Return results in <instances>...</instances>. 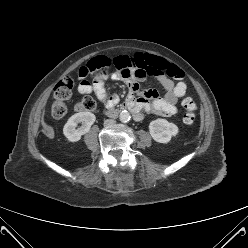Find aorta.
I'll use <instances>...</instances> for the list:
<instances>
[{"label": "aorta", "instance_id": "762f6f07", "mask_svg": "<svg viewBox=\"0 0 248 248\" xmlns=\"http://www.w3.org/2000/svg\"><path fill=\"white\" fill-rule=\"evenodd\" d=\"M130 118H131L130 113L126 110L122 111L119 115V119L122 122H128Z\"/></svg>", "mask_w": 248, "mask_h": 248}]
</instances>
